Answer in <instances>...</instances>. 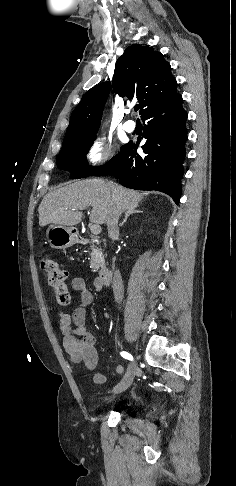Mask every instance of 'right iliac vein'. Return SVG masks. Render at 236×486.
<instances>
[{"label": "right iliac vein", "mask_w": 236, "mask_h": 486, "mask_svg": "<svg viewBox=\"0 0 236 486\" xmlns=\"http://www.w3.org/2000/svg\"><path fill=\"white\" fill-rule=\"evenodd\" d=\"M136 373H137L136 365L130 364L128 369H127V372L125 373L124 378L121 380V382L119 384H117L114 387L113 392L114 393H121V392L127 390L130 387V385L132 384L134 376H135Z\"/></svg>", "instance_id": "right-iliac-vein-1"}]
</instances>
